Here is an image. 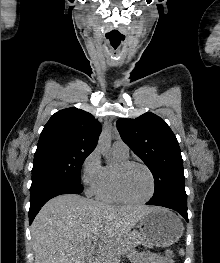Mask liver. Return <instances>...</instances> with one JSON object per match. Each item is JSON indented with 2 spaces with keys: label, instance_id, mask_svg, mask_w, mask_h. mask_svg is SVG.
Here are the masks:
<instances>
[{
  "label": "liver",
  "instance_id": "6515ba94",
  "mask_svg": "<svg viewBox=\"0 0 220 263\" xmlns=\"http://www.w3.org/2000/svg\"><path fill=\"white\" fill-rule=\"evenodd\" d=\"M154 207L111 206L75 194L49 200L31 226L34 263H86V248L98 240V263H114L126 235Z\"/></svg>",
  "mask_w": 220,
  "mask_h": 263
}]
</instances>
